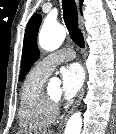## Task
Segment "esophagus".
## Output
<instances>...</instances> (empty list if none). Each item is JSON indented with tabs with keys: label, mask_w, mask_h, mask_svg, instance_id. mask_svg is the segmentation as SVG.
<instances>
[{
	"label": "esophagus",
	"mask_w": 116,
	"mask_h": 134,
	"mask_svg": "<svg viewBox=\"0 0 116 134\" xmlns=\"http://www.w3.org/2000/svg\"><path fill=\"white\" fill-rule=\"evenodd\" d=\"M84 94H85V84H84V86H83V88H82V90H81V92H80V94H79V96H78V98H77V100H76L74 106L72 107V109H71V111H70V114L73 113V112L76 110V108L79 106V104L81 103V100H82ZM68 117H69V116H67V117L60 123V125H59V127H58V131H59V132H61V131L63 130V128H64V126H65V123H66Z\"/></svg>",
	"instance_id": "34e87169"
}]
</instances>
